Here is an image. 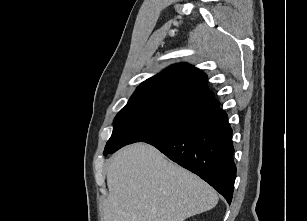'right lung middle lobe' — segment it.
Listing matches in <instances>:
<instances>
[{
  "instance_id": "right-lung-middle-lobe-1",
  "label": "right lung middle lobe",
  "mask_w": 307,
  "mask_h": 221,
  "mask_svg": "<svg viewBox=\"0 0 307 221\" xmlns=\"http://www.w3.org/2000/svg\"><path fill=\"white\" fill-rule=\"evenodd\" d=\"M210 109L177 101L128 102L114 120L104 155L135 142H149L175 134L195 123Z\"/></svg>"
}]
</instances>
